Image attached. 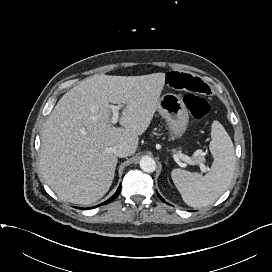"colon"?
I'll list each match as a JSON object with an SVG mask.
<instances>
[{"mask_svg": "<svg viewBox=\"0 0 272 272\" xmlns=\"http://www.w3.org/2000/svg\"><path fill=\"white\" fill-rule=\"evenodd\" d=\"M183 100L191 115L197 120L206 117L211 110L209 101L203 96L188 93L184 95Z\"/></svg>", "mask_w": 272, "mask_h": 272, "instance_id": "colon-1", "label": "colon"}]
</instances>
